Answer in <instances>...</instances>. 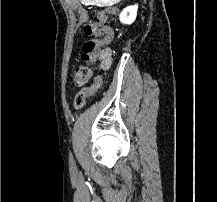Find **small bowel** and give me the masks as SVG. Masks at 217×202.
I'll return each instance as SVG.
<instances>
[{"mask_svg":"<svg viewBox=\"0 0 217 202\" xmlns=\"http://www.w3.org/2000/svg\"><path fill=\"white\" fill-rule=\"evenodd\" d=\"M103 42L100 41V45L102 44ZM97 55L99 56L100 60L102 61V64L105 66V67H109L111 65V62H112V52L110 49H104L100 52H97ZM96 55V56H97Z\"/></svg>","mask_w":217,"mask_h":202,"instance_id":"small-bowel-1","label":"small bowel"}]
</instances>
